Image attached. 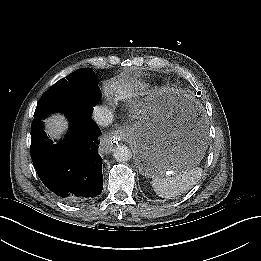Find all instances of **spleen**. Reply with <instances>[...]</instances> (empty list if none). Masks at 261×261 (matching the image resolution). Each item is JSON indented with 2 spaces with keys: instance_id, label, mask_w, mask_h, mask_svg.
<instances>
[{
  "instance_id": "3e777b00",
  "label": "spleen",
  "mask_w": 261,
  "mask_h": 261,
  "mask_svg": "<svg viewBox=\"0 0 261 261\" xmlns=\"http://www.w3.org/2000/svg\"><path fill=\"white\" fill-rule=\"evenodd\" d=\"M201 174V168L193 167L166 177H156L151 183L158 196L171 198L189 191L199 181Z\"/></svg>"
}]
</instances>
